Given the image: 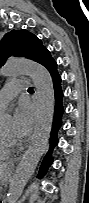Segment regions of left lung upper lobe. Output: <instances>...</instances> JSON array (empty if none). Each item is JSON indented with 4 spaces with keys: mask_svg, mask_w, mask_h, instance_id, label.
I'll list each match as a JSON object with an SVG mask.
<instances>
[{
    "mask_svg": "<svg viewBox=\"0 0 89 203\" xmlns=\"http://www.w3.org/2000/svg\"><path fill=\"white\" fill-rule=\"evenodd\" d=\"M45 47L40 39L27 30H12L0 41V67L11 55L39 61Z\"/></svg>",
    "mask_w": 89,
    "mask_h": 203,
    "instance_id": "obj_1",
    "label": "left lung upper lobe"
}]
</instances>
